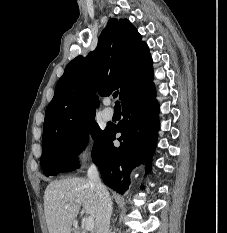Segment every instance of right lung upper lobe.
<instances>
[{"mask_svg":"<svg viewBox=\"0 0 227 233\" xmlns=\"http://www.w3.org/2000/svg\"><path fill=\"white\" fill-rule=\"evenodd\" d=\"M152 59L146 43L127 19H110L95 51L78 56L65 68L45 113L42 144L87 122L103 96L120 88L121 104L152 84Z\"/></svg>","mask_w":227,"mask_h":233,"instance_id":"obj_1","label":"right lung upper lobe"}]
</instances>
